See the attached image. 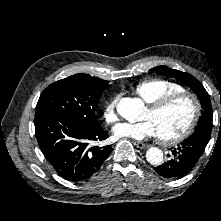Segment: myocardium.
<instances>
[{
    "label": "myocardium",
    "instance_id": "myocardium-1",
    "mask_svg": "<svg viewBox=\"0 0 221 221\" xmlns=\"http://www.w3.org/2000/svg\"><path fill=\"white\" fill-rule=\"evenodd\" d=\"M182 99H187L188 101H190L192 105L191 118L188 124L186 125V127L180 133L171 137H166V138L158 136L159 140L163 144H166V145L177 144L179 142H182L183 140H185L187 137H189L192 134V132L194 131L199 121L200 114H201L200 101L194 94L184 91V92L166 95L148 105V110L152 113H156V112L163 110L170 104L176 101L182 100Z\"/></svg>",
    "mask_w": 221,
    "mask_h": 221
}]
</instances>
